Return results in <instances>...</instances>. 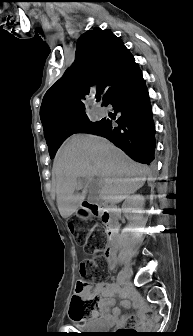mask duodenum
Here are the masks:
<instances>
[{"label":"duodenum","instance_id":"410a0bca","mask_svg":"<svg viewBox=\"0 0 193 336\" xmlns=\"http://www.w3.org/2000/svg\"><path fill=\"white\" fill-rule=\"evenodd\" d=\"M87 207L96 217L100 218L106 226L107 244L105 249V257L109 263L115 260V249L117 243V216L116 207L105 203L90 204L84 202Z\"/></svg>","mask_w":193,"mask_h":336}]
</instances>
